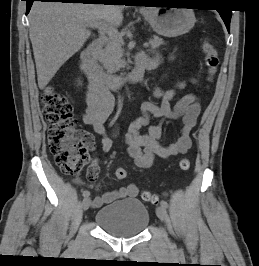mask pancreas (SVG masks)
<instances>
[{"label":"pancreas","mask_w":259,"mask_h":266,"mask_svg":"<svg viewBox=\"0 0 259 266\" xmlns=\"http://www.w3.org/2000/svg\"><path fill=\"white\" fill-rule=\"evenodd\" d=\"M164 44L162 38L154 36L150 41L152 49H157ZM123 40L115 37H109L108 43L100 54L98 60L103 65L107 73L113 74L120 71L125 66L123 57Z\"/></svg>","instance_id":"1"}]
</instances>
